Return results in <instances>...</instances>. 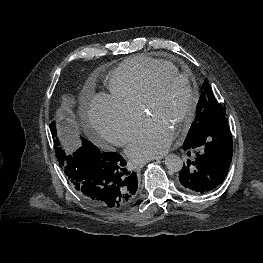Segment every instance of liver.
Wrapping results in <instances>:
<instances>
[{"label":"liver","instance_id":"6515ba94","mask_svg":"<svg viewBox=\"0 0 263 263\" xmlns=\"http://www.w3.org/2000/svg\"><path fill=\"white\" fill-rule=\"evenodd\" d=\"M63 101H62V105H61V110L63 111V114L65 116H72V110H71V106L74 103V98L71 96H63Z\"/></svg>","mask_w":263,"mask_h":263}]
</instances>
